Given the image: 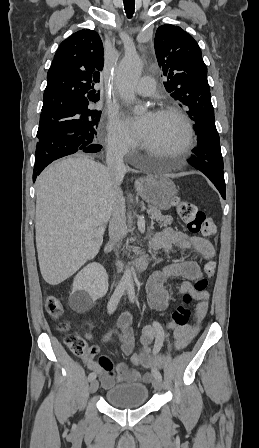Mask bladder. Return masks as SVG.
I'll use <instances>...</instances> for the list:
<instances>
[{
    "label": "bladder",
    "mask_w": 259,
    "mask_h": 448,
    "mask_svg": "<svg viewBox=\"0 0 259 448\" xmlns=\"http://www.w3.org/2000/svg\"><path fill=\"white\" fill-rule=\"evenodd\" d=\"M149 396L148 387L144 384H118L106 391L107 402L118 408H137L144 405Z\"/></svg>",
    "instance_id": "obj_1"
}]
</instances>
